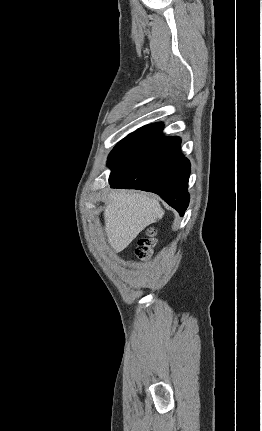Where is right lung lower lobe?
<instances>
[{"label":"right lung lower lobe","instance_id":"obj_1","mask_svg":"<svg viewBox=\"0 0 262 431\" xmlns=\"http://www.w3.org/2000/svg\"><path fill=\"white\" fill-rule=\"evenodd\" d=\"M162 129V123L146 125L114 147L108 158L109 183L111 188L154 192L183 216L190 162L180 151V138L164 137Z\"/></svg>","mask_w":262,"mask_h":431}]
</instances>
